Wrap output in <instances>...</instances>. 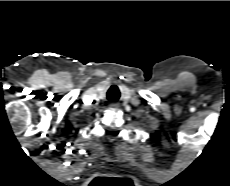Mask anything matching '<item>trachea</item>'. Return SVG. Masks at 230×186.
Listing matches in <instances>:
<instances>
[{
	"instance_id": "3493384b",
	"label": "trachea",
	"mask_w": 230,
	"mask_h": 186,
	"mask_svg": "<svg viewBox=\"0 0 230 186\" xmlns=\"http://www.w3.org/2000/svg\"><path fill=\"white\" fill-rule=\"evenodd\" d=\"M119 97V92L117 86L113 85L109 88L107 92V99L109 101H117Z\"/></svg>"
}]
</instances>
